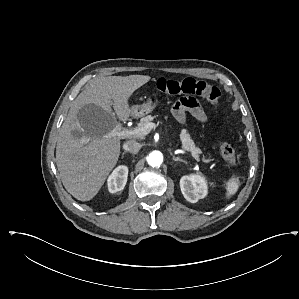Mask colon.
I'll use <instances>...</instances> for the list:
<instances>
[{"label": "colon", "instance_id": "1", "mask_svg": "<svg viewBox=\"0 0 299 299\" xmlns=\"http://www.w3.org/2000/svg\"><path fill=\"white\" fill-rule=\"evenodd\" d=\"M157 89L169 95L200 96L207 99L213 106L220 103L219 89L205 80H197L191 77L181 80L160 78L156 83ZM220 152L223 159L230 165L236 163L235 150L228 141L221 142Z\"/></svg>", "mask_w": 299, "mask_h": 299}]
</instances>
